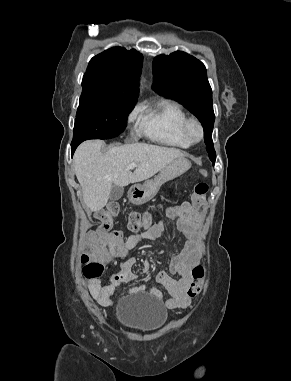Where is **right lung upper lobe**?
<instances>
[{"label": "right lung upper lobe", "mask_w": 291, "mask_h": 381, "mask_svg": "<svg viewBox=\"0 0 291 381\" xmlns=\"http://www.w3.org/2000/svg\"><path fill=\"white\" fill-rule=\"evenodd\" d=\"M142 61L139 52L121 47L94 56L83 76L82 92L102 93L136 102Z\"/></svg>", "instance_id": "cb5924a9"}]
</instances>
